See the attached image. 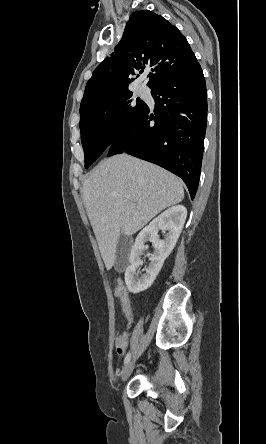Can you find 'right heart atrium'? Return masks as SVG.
<instances>
[{
  "label": "right heart atrium",
  "mask_w": 266,
  "mask_h": 444,
  "mask_svg": "<svg viewBox=\"0 0 266 444\" xmlns=\"http://www.w3.org/2000/svg\"><path fill=\"white\" fill-rule=\"evenodd\" d=\"M109 125H113V122H112V121H109Z\"/></svg>",
  "instance_id": "1"
}]
</instances>
